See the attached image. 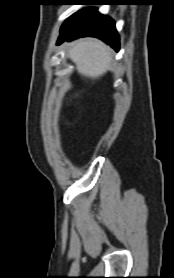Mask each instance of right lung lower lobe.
Segmentation results:
<instances>
[{"label": "right lung lower lobe", "instance_id": "obj_1", "mask_svg": "<svg viewBox=\"0 0 174 278\" xmlns=\"http://www.w3.org/2000/svg\"><path fill=\"white\" fill-rule=\"evenodd\" d=\"M58 44L79 37L92 36L102 39L116 51L119 50V36L115 23L109 17L98 13L96 8H88L69 17L60 30Z\"/></svg>", "mask_w": 174, "mask_h": 278}]
</instances>
